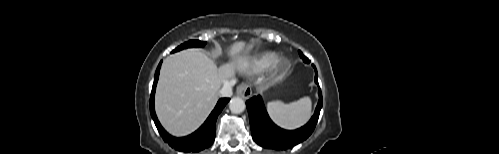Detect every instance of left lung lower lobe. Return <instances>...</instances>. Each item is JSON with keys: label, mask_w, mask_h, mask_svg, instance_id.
<instances>
[{"label": "left lung lower lobe", "mask_w": 499, "mask_h": 154, "mask_svg": "<svg viewBox=\"0 0 499 154\" xmlns=\"http://www.w3.org/2000/svg\"><path fill=\"white\" fill-rule=\"evenodd\" d=\"M302 58V56H300ZM315 69V83L318 85V74ZM319 101L314 115L309 122L297 130H284L276 126L269 118L261 96H254L246 102L249 113L251 133L254 141L264 147L276 150H285L306 140L313 132L322 108V93L319 87Z\"/></svg>", "instance_id": "obj_1"}]
</instances>
